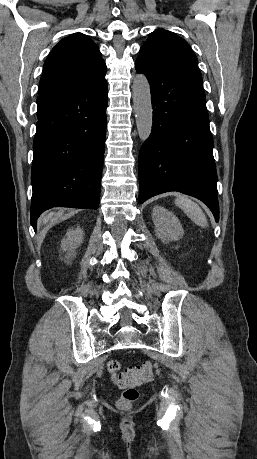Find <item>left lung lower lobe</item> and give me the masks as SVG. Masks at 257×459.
Listing matches in <instances>:
<instances>
[{
  "mask_svg": "<svg viewBox=\"0 0 257 459\" xmlns=\"http://www.w3.org/2000/svg\"><path fill=\"white\" fill-rule=\"evenodd\" d=\"M135 68L149 81L153 107L152 132L138 159L139 203L179 191L203 201L218 221L213 139L197 64L137 58Z\"/></svg>",
  "mask_w": 257,
  "mask_h": 459,
  "instance_id": "left-lung-lower-lobe-1",
  "label": "left lung lower lobe"
}]
</instances>
